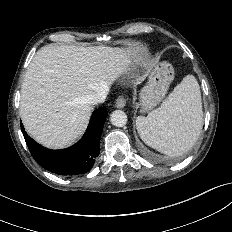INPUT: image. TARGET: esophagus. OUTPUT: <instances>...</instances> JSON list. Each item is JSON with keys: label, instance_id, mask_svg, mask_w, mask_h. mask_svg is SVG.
Wrapping results in <instances>:
<instances>
[{"label": "esophagus", "instance_id": "obj_1", "mask_svg": "<svg viewBox=\"0 0 232 232\" xmlns=\"http://www.w3.org/2000/svg\"><path fill=\"white\" fill-rule=\"evenodd\" d=\"M125 105H126V99L123 96H119L116 99L115 106L121 109V108H124Z\"/></svg>", "mask_w": 232, "mask_h": 232}]
</instances>
